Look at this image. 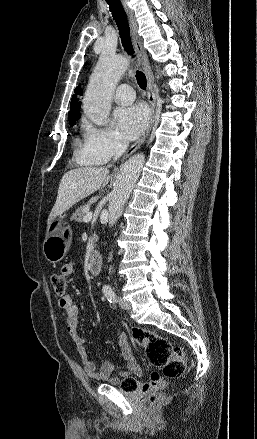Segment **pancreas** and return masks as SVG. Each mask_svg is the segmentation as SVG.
<instances>
[{
	"mask_svg": "<svg viewBox=\"0 0 257 439\" xmlns=\"http://www.w3.org/2000/svg\"><path fill=\"white\" fill-rule=\"evenodd\" d=\"M88 213H89V205L84 204L73 213L71 220H74L77 222H82L84 216Z\"/></svg>",
	"mask_w": 257,
	"mask_h": 439,
	"instance_id": "cf45deb5",
	"label": "pancreas"
}]
</instances>
